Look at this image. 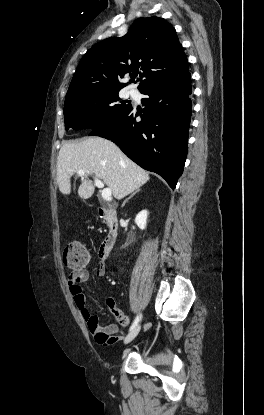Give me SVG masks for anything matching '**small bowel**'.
Wrapping results in <instances>:
<instances>
[{
    "label": "small bowel",
    "mask_w": 264,
    "mask_h": 415,
    "mask_svg": "<svg viewBox=\"0 0 264 415\" xmlns=\"http://www.w3.org/2000/svg\"><path fill=\"white\" fill-rule=\"evenodd\" d=\"M105 273V264L103 262H100L96 269V275L98 277H103ZM88 277L89 272L86 267L76 269L69 279V290L78 308L80 309L85 321L87 322L88 329L94 336L96 342L103 347H109L121 341L122 338L117 336V325H100L98 315L90 314L85 308L84 294L80 284L87 281ZM108 306L109 308H113L112 302L109 301ZM120 322L123 326H127L130 323V317L125 315L121 316Z\"/></svg>",
    "instance_id": "1"
}]
</instances>
